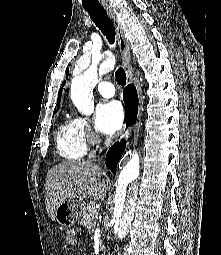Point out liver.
Listing matches in <instances>:
<instances>
[{
  "instance_id": "1",
  "label": "liver",
  "mask_w": 221,
  "mask_h": 255,
  "mask_svg": "<svg viewBox=\"0 0 221 255\" xmlns=\"http://www.w3.org/2000/svg\"><path fill=\"white\" fill-rule=\"evenodd\" d=\"M103 170L85 161H68L51 168L46 177L45 201L50 218L55 220V210L67 199L80 198L104 200L107 185L102 180Z\"/></svg>"
}]
</instances>
